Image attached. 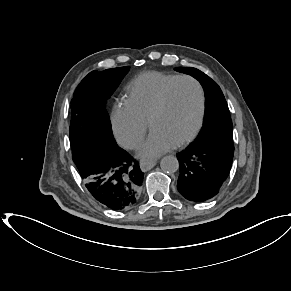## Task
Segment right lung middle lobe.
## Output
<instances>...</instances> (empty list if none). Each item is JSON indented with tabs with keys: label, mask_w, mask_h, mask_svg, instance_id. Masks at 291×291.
<instances>
[{
	"label": "right lung middle lobe",
	"mask_w": 291,
	"mask_h": 291,
	"mask_svg": "<svg viewBox=\"0 0 291 291\" xmlns=\"http://www.w3.org/2000/svg\"><path fill=\"white\" fill-rule=\"evenodd\" d=\"M128 71V66L92 71L76 88L69 128L73 161L97 147L117 145L105 105Z\"/></svg>",
	"instance_id": "1"
}]
</instances>
